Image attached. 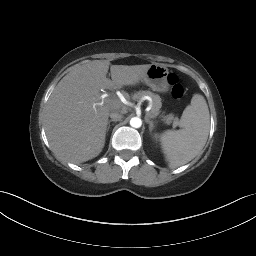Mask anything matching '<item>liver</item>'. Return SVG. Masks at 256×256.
Segmentation results:
<instances>
[{"mask_svg":"<svg viewBox=\"0 0 256 256\" xmlns=\"http://www.w3.org/2000/svg\"><path fill=\"white\" fill-rule=\"evenodd\" d=\"M92 61L64 76L46 106L44 127L56 158L75 164L97 157L105 144L109 105L100 90L138 83L150 68L145 65H111Z\"/></svg>","mask_w":256,"mask_h":256,"instance_id":"1","label":"liver"}]
</instances>
